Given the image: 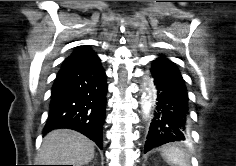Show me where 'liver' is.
Here are the masks:
<instances>
[{
    "label": "liver",
    "instance_id": "obj_1",
    "mask_svg": "<svg viewBox=\"0 0 236 166\" xmlns=\"http://www.w3.org/2000/svg\"><path fill=\"white\" fill-rule=\"evenodd\" d=\"M93 157L92 141L76 131L58 129L44 137L38 161L42 165L81 166L88 164Z\"/></svg>",
    "mask_w": 236,
    "mask_h": 166
}]
</instances>
